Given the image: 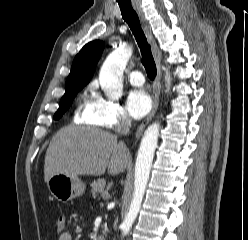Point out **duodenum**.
Returning <instances> with one entry per match:
<instances>
[{
    "label": "duodenum",
    "instance_id": "obj_1",
    "mask_svg": "<svg viewBox=\"0 0 248 240\" xmlns=\"http://www.w3.org/2000/svg\"><path fill=\"white\" fill-rule=\"evenodd\" d=\"M97 240H105L103 237H98Z\"/></svg>",
    "mask_w": 248,
    "mask_h": 240
}]
</instances>
